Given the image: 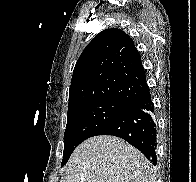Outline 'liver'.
I'll use <instances>...</instances> for the list:
<instances>
[{
    "label": "liver",
    "instance_id": "6515ba94",
    "mask_svg": "<svg viewBox=\"0 0 196 182\" xmlns=\"http://www.w3.org/2000/svg\"><path fill=\"white\" fill-rule=\"evenodd\" d=\"M60 182H155L145 156L123 139L95 136L72 153Z\"/></svg>",
    "mask_w": 196,
    "mask_h": 182
}]
</instances>
